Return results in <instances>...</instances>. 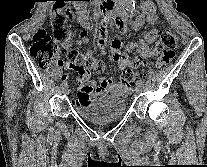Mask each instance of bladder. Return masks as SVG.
Returning a JSON list of instances; mask_svg holds the SVG:
<instances>
[{
  "mask_svg": "<svg viewBox=\"0 0 207 167\" xmlns=\"http://www.w3.org/2000/svg\"><path fill=\"white\" fill-rule=\"evenodd\" d=\"M77 114L84 120L104 124L119 120L126 112V101L121 96H104L76 106Z\"/></svg>",
  "mask_w": 207,
  "mask_h": 167,
  "instance_id": "obj_1",
  "label": "bladder"
}]
</instances>
